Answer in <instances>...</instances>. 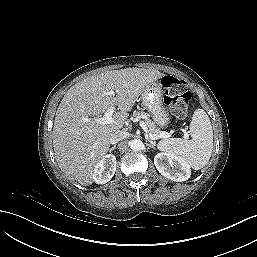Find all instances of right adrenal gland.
Segmentation results:
<instances>
[{
    "label": "right adrenal gland",
    "instance_id": "obj_1",
    "mask_svg": "<svg viewBox=\"0 0 257 257\" xmlns=\"http://www.w3.org/2000/svg\"><path fill=\"white\" fill-rule=\"evenodd\" d=\"M116 149V145H114L113 147L110 148L109 152H111L112 150Z\"/></svg>",
    "mask_w": 257,
    "mask_h": 257
}]
</instances>
